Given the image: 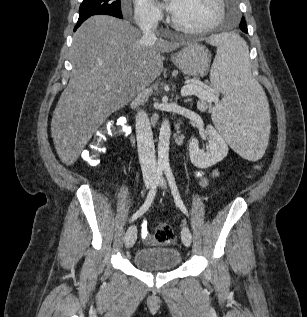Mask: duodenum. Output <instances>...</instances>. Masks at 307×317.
<instances>
[{
  "label": "duodenum",
  "mask_w": 307,
  "mask_h": 317,
  "mask_svg": "<svg viewBox=\"0 0 307 317\" xmlns=\"http://www.w3.org/2000/svg\"><path fill=\"white\" fill-rule=\"evenodd\" d=\"M131 138H132V140H134V139H135L133 134H131Z\"/></svg>",
  "instance_id": "obj_1"
}]
</instances>
